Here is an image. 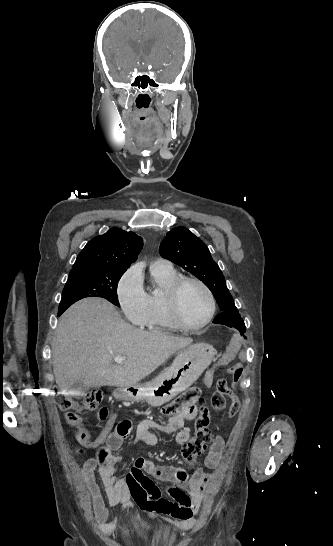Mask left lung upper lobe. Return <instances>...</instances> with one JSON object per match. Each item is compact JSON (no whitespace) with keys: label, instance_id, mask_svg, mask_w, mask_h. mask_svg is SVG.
Wrapping results in <instances>:
<instances>
[{"label":"left lung upper lobe","instance_id":"5c2ea615","mask_svg":"<svg viewBox=\"0 0 333 546\" xmlns=\"http://www.w3.org/2000/svg\"><path fill=\"white\" fill-rule=\"evenodd\" d=\"M159 252L163 258L200 279L213 293L221 313H226L233 321L244 325L226 286L225 278L203 241L187 228L176 227L167 233Z\"/></svg>","mask_w":333,"mask_h":546}]
</instances>
